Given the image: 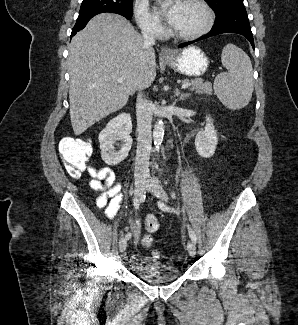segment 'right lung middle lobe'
I'll return each instance as SVG.
<instances>
[{
    "mask_svg": "<svg viewBox=\"0 0 298 325\" xmlns=\"http://www.w3.org/2000/svg\"><path fill=\"white\" fill-rule=\"evenodd\" d=\"M133 0H83L79 19L94 16L102 12H114L125 17H132Z\"/></svg>",
    "mask_w": 298,
    "mask_h": 325,
    "instance_id": "dd1d6c3e",
    "label": "right lung middle lobe"
}]
</instances>
